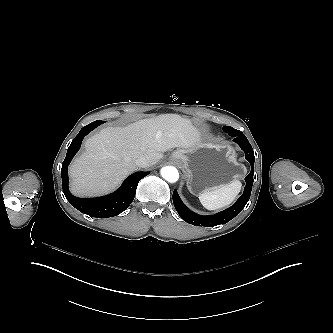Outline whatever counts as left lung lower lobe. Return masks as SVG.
Wrapping results in <instances>:
<instances>
[{"instance_id": "1", "label": "left lung lower lobe", "mask_w": 333, "mask_h": 333, "mask_svg": "<svg viewBox=\"0 0 333 333\" xmlns=\"http://www.w3.org/2000/svg\"><path fill=\"white\" fill-rule=\"evenodd\" d=\"M224 132L228 133L230 136L234 137L233 141L236 142L241 149L245 152V158L249 161L251 165V171L248 176L245 178L246 186L242 196L228 209L221 211L215 215L201 216L192 212L188 209L184 203L181 201L177 190L173 192V203L174 206L181 216V218L189 224L195 226H210L214 227L216 225L225 224L237 216L242 209L245 207L246 203L249 201L252 185H253V175H254V153L252 146L250 145L248 139L245 135L230 126H224Z\"/></svg>"}]
</instances>
